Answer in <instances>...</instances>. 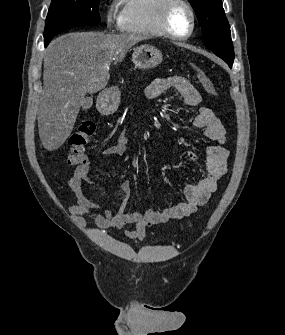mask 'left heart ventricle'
Masks as SVG:
<instances>
[{
	"instance_id": "left-heart-ventricle-1",
	"label": "left heart ventricle",
	"mask_w": 285,
	"mask_h": 335,
	"mask_svg": "<svg viewBox=\"0 0 285 335\" xmlns=\"http://www.w3.org/2000/svg\"><path fill=\"white\" fill-rule=\"evenodd\" d=\"M186 17H187L186 11L182 7L177 6L172 14L173 25L175 27L182 26L186 20Z\"/></svg>"
}]
</instances>
